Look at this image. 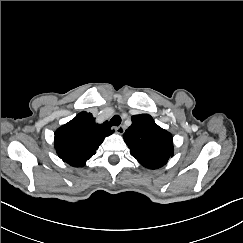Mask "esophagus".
<instances>
[{"instance_id": "obj_1", "label": "esophagus", "mask_w": 243, "mask_h": 243, "mask_svg": "<svg viewBox=\"0 0 243 243\" xmlns=\"http://www.w3.org/2000/svg\"><path fill=\"white\" fill-rule=\"evenodd\" d=\"M113 129L117 134H123L125 131L124 126H114Z\"/></svg>"}]
</instances>
